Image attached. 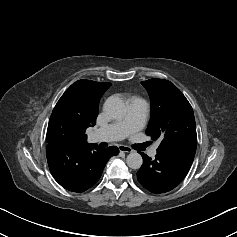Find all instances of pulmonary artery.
<instances>
[{"label":"pulmonary artery","mask_w":237,"mask_h":237,"mask_svg":"<svg viewBox=\"0 0 237 237\" xmlns=\"http://www.w3.org/2000/svg\"><path fill=\"white\" fill-rule=\"evenodd\" d=\"M149 110L148 103L140 97H132L129 100L126 116L109 125L96 129L91 134L93 142H111L124 139L131 133L141 130L146 122V114ZM157 153L156 147L150 151L151 156Z\"/></svg>","instance_id":"obj_1"}]
</instances>
